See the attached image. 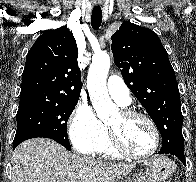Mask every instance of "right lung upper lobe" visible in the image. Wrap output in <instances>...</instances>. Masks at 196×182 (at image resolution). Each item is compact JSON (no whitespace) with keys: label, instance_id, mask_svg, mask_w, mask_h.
<instances>
[{"label":"right lung upper lobe","instance_id":"1","mask_svg":"<svg viewBox=\"0 0 196 182\" xmlns=\"http://www.w3.org/2000/svg\"><path fill=\"white\" fill-rule=\"evenodd\" d=\"M77 58V44L67 26L40 35L27 54L19 106L78 100L82 83Z\"/></svg>","mask_w":196,"mask_h":182}]
</instances>
